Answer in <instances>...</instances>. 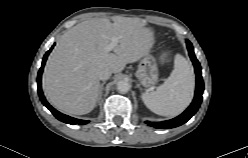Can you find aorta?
<instances>
[{"mask_svg": "<svg viewBox=\"0 0 248 158\" xmlns=\"http://www.w3.org/2000/svg\"><path fill=\"white\" fill-rule=\"evenodd\" d=\"M131 88V85L128 81L126 80H121L117 83V90L120 93H127Z\"/></svg>", "mask_w": 248, "mask_h": 158, "instance_id": "762f6f07", "label": "aorta"}]
</instances>
